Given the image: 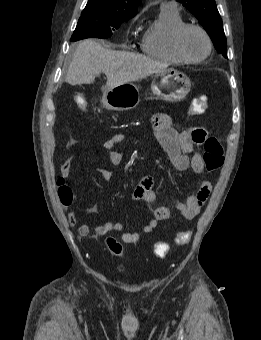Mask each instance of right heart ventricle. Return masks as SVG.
<instances>
[{"mask_svg":"<svg viewBox=\"0 0 261 340\" xmlns=\"http://www.w3.org/2000/svg\"><path fill=\"white\" fill-rule=\"evenodd\" d=\"M185 23L178 9L160 8L157 19L148 27L141 40L147 55L173 64H185L173 48V35Z\"/></svg>","mask_w":261,"mask_h":340,"instance_id":"right-heart-ventricle-1","label":"right heart ventricle"}]
</instances>
